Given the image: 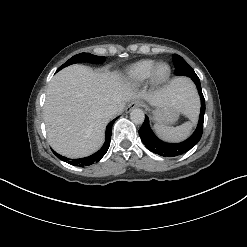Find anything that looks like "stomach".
<instances>
[{
    "label": "stomach",
    "mask_w": 247,
    "mask_h": 247,
    "mask_svg": "<svg viewBox=\"0 0 247 247\" xmlns=\"http://www.w3.org/2000/svg\"><path fill=\"white\" fill-rule=\"evenodd\" d=\"M181 111L174 105H160L152 107L153 120L158 125H168L175 123Z\"/></svg>",
    "instance_id": "1"
}]
</instances>
